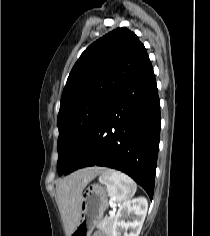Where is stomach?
Listing matches in <instances>:
<instances>
[{
	"mask_svg": "<svg viewBox=\"0 0 210 236\" xmlns=\"http://www.w3.org/2000/svg\"><path fill=\"white\" fill-rule=\"evenodd\" d=\"M107 207V190L99 184L88 187L82 194L79 219L71 236H91Z\"/></svg>",
	"mask_w": 210,
	"mask_h": 236,
	"instance_id": "stomach-1",
	"label": "stomach"
}]
</instances>
